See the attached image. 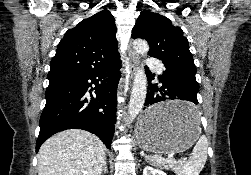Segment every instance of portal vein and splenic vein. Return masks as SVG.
Listing matches in <instances>:
<instances>
[{
    "instance_id": "portal-vein-and-splenic-vein-1",
    "label": "portal vein and splenic vein",
    "mask_w": 251,
    "mask_h": 175,
    "mask_svg": "<svg viewBox=\"0 0 251 175\" xmlns=\"http://www.w3.org/2000/svg\"><path fill=\"white\" fill-rule=\"evenodd\" d=\"M167 157H168V158H174V157H175L174 152L168 153V154H167ZM180 161H186V158H180Z\"/></svg>"
}]
</instances>
